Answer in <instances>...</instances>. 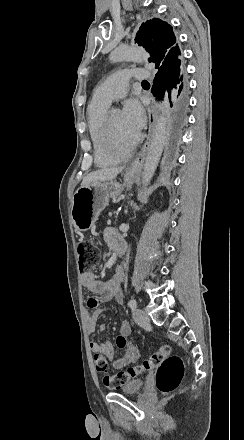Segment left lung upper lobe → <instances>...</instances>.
Instances as JSON below:
<instances>
[{
    "label": "left lung upper lobe",
    "mask_w": 244,
    "mask_h": 440,
    "mask_svg": "<svg viewBox=\"0 0 244 440\" xmlns=\"http://www.w3.org/2000/svg\"><path fill=\"white\" fill-rule=\"evenodd\" d=\"M135 42L151 54L149 61L155 63V68L171 64L180 55L172 27L158 18L142 23Z\"/></svg>",
    "instance_id": "1"
}]
</instances>
